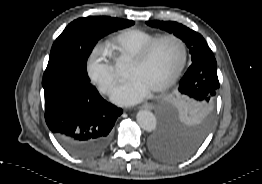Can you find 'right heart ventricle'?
Wrapping results in <instances>:
<instances>
[{"instance_id":"1","label":"right heart ventricle","mask_w":262,"mask_h":184,"mask_svg":"<svg viewBox=\"0 0 262 184\" xmlns=\"http://www.w3.org/2000/svg\"><path fill=\"white\" fill-rule=\"evenodd\" d=\"M159 36L137 28L123 30L111 39V53L118 60L132 59L147 44Z\"/></svg>"}]
</instances>
